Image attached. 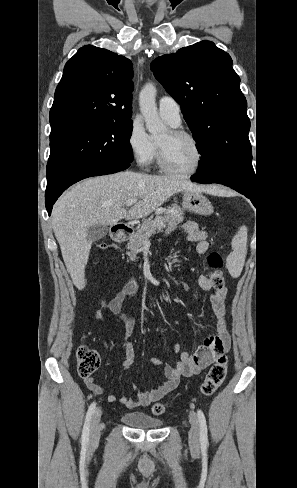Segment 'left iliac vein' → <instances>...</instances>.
<instances>
[{"mask_svg": "<svg viewBox=\"0 0 297 488\" xmlns=\"http://www.w3.org/2000/svg\"><path fill=\"white\" fill-rule=\"evenodd\" d=\"M189 422L191 428L189 430V445L193 452L199 450V421L196 414L193 411L189 413Z\"/></svg>", "mask_w": 297, "mask_h": 488, "instance_id": "4c4485c4", "label": "left iliac vein"}]
</instances>
